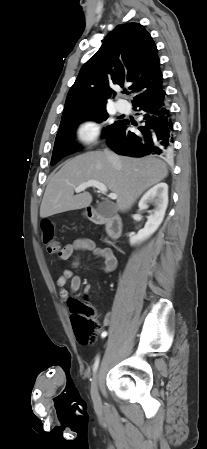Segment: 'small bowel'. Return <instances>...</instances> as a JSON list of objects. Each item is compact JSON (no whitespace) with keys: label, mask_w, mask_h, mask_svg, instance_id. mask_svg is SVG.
<instances>
[{"label":"small bowel","mask_w":207,"mask_h":449,"mask_svg":"<svg viewBox=\"0 0 207 449\" xmlns=\"http://www.w3.org/2000/svg\"><path fill=\"white\" fill-rule=\"evenodd\" d=\"M93 252L95 258L98 260V263L101 265L103 270L106 273H110L117 267V259L109 248L106 247H98L94 241L89 238H77L72 243H68L63 246L58 255L61 259L66 260L70 258L74 252ZM80 265L79 257L76 256L70 268H66L63 270L61 275L58 277L56 281V285L59 290V296L61 300L67 301L70 297L71 293H75L80 289L81 286V278L79 276L74 275L73 269L78 268ZM68 282H70L69 286H67ZM90 292V287L87 286L85 288V293ZM101 322L104 326H109L111 323V317L109 314H105ZM103 337V334H102Z\"/></svg>","instance_id":"small-bowel-1"}]
</instances>
